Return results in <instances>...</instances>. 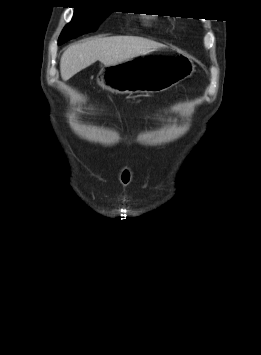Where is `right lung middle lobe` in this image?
Instances as JSON below:
<instances>
[{
  "instance_id": "1",
  "label": "right lung middle lobe",
  "mask_w": 261,
  "mask_h": 355,
  "mask_svg": "<svg viewBox=\"0 0 261 355\" xmlns=\"http://www.w3.org/2000/svg\"><path fill=\"white\" fill-rule=\"evenodd\" d=\"M110 13L111 11L75 8L74 16L71 22L64 27L59 40H69L96 30L100 22Z\"/></svg>"
}]
</instances>
